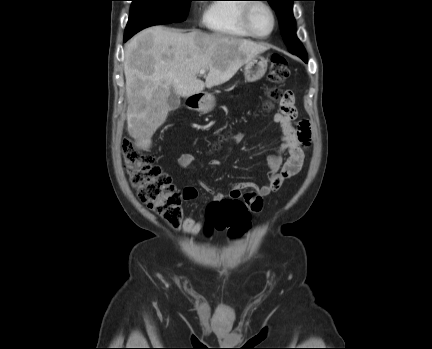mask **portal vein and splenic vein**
Listing matches in <instances>:
<instances>
[{"instance_id": "obj_1", "label": "portal vein and splenic vein", "mask_w": 432, "mask_h": 349, "mask_svg": "<svg viewBox=\"0 0 432 349\" xmlns=\"http://www.w3.org/2000/svg\"><path fill=\"white\" fill-rule=\"evenodd\" d=\"M205 72H206V70L202 69V70H200L199 74L202 76L205 74Z\"/></svg>"}]
</instances>
